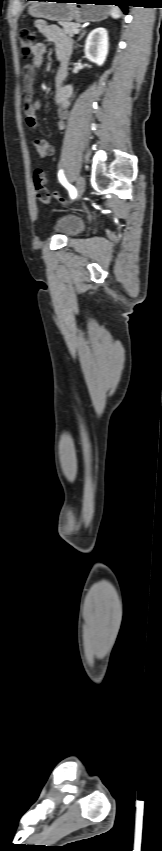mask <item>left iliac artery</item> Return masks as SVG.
<instances>
[{
    "label": "left iliac artery",
    "mask_w": 162,
    "mask_h": 851,
    "mask_svg": "<svg viewBox=\"0 0 162 851\" xmlns=\"http://www.w3.org/2000/svg\"><path fill=\"white\" fill-rule=\"evenodd\" d=\"M58 178H59L60 182L62 183V185H63V186H65V187L67 188V190L69 191V194H70L71 198H72V199L76 198V196H77V191H76V189H75L72 185H70V184L66 181V179H65V177H64V174H63V171H62V170H60V171H59V173H58Z\"/></svg>",
    "instance_id": "1"
}]
</instances>
